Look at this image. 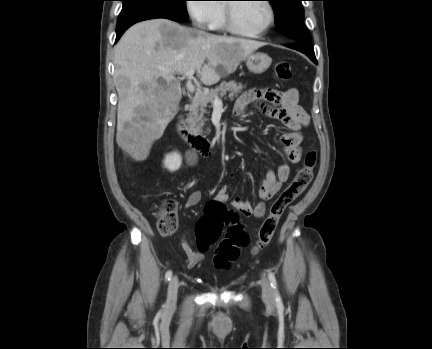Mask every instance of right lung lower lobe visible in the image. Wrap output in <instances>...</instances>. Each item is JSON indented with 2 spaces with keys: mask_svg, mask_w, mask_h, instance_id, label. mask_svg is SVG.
<instances>
[{
  "mask_svg": "<svg viewBox=\"0 0 432 349\" xmlns=\"http://www.w3.org/2000/svg\"><path fill=\"white\" fill-rule=\"evenodd\" d=\"M155 18H164L161 16H156V15H146V16H140L122 23H118V27L116 29V40L115 43L120 39V37L122 36V34L133 24L143 21V20H148V19H155Z\"/></svg>",
  "mask_w": 432,
  "mask_h": 349,
  "instance_id": "right-lung-lower-lobe-1",
  "label": "right lung lower lobe"
}]
</instances>
